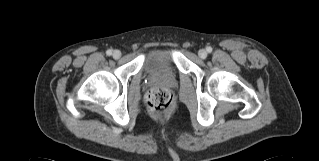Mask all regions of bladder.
Returning a JSON list of instances; mask_svg holds the SVG:
<instances>
[{"instance_id": "31cf9c89", "label": "bladder", "mask_w": 319, "mask_h": 161, "mask_svg": "<svg viewBox=\"0 0 319 161\" xmlns=\"http://www.w3.org/2000/svg\"><path fill=\"white\" fill-rule=\"evenodd\" d=\"M142 69L146 75L175 74L172 48L160 45L149 48L144 54Z\"/></svg>"}]
</instances>
